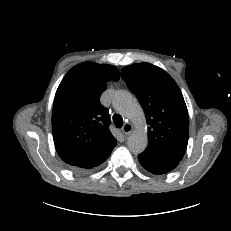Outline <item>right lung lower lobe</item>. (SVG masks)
Masks as SVG:
<instances>
[{
	"label": "right lung lower lobe",
	"instance_id": "right-lung-lower-lobe-1",
	"mask_svg": "<svg viewBox=\"0 0 231 231\" xmlns=\"http://www.w3.org/2000/svg\"><path fill=\"white\" fill-rule=\"evenodd\" d=\"M112 150H110L105 155H103L102 157H100V158H98L96 160L84 161V162H79V163L72 164L71 168L75 169V170H85V169H90V168L96 167V166L102 164L105 160H107V158L111 154Z\"/></svg>",
	"mask_w": 231,
	"mask_h": 231
}]
</instances>
